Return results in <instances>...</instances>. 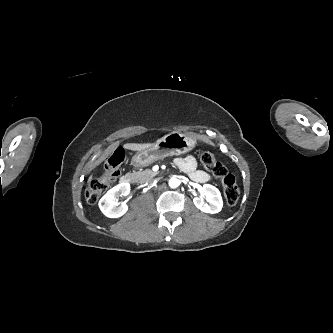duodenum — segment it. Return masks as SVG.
<instances>
[{
	"label": "duodenum",
	"instance_id": "410a0bca",
	"mask_svg": "<svg viewBox=\"0 0 333 333\" xmlns=\"http://www.w3.org/2000/svg\"><path fill=\"white\" fill-rule=\"evenodd\" d=\"M135 179V175L132 173H127L120 178V182L123 184L132 183Z\"/></svg>",
	"mask_w": 333,
	"mask_h": 333
}]
</instances>
